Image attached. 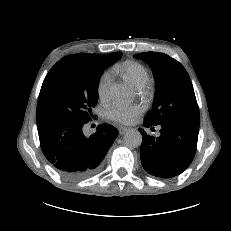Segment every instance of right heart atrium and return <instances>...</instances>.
<instances>
[{
	"instance_id": "obj_1",
	"label": "right heart atrium",
	"mask_w": 231,
	"mask_h": 231,
	"mask_svg": "<svg viewBox=\"0 0 231 231\" xmlns=\"http://www.w3.org/2000/svg\"><path fill=\"white\" fill-rule=\"evenodd\" d=\"M111 84V74L109 72H104L97 83V94L101 100L105 101L109 98Z\"/></svg>"
}]
</instances>
